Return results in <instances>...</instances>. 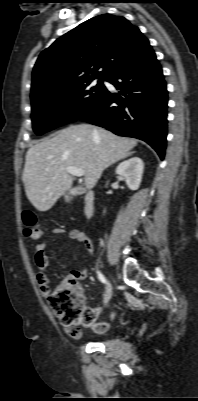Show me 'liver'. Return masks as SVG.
Wrapping results in <instances>:
<instances>
[{
  "label": "liver",
  "instance_id": "liver-1",
  "mask_svg": "<svg viewBox=\"0 0 198 401\" xmlns=\"http://www.w3.org/2000/svg\"><path fill=\"white\" fill-rule=\"evenodd\" d=\"M136 145V139L93 125L69 126L27 151L22 174L26 195L37 210L47 211L72 186L66 167L81 168L91 189L106 168L130 155Z\"/></svg>",
  "mask_w": 198,
  "mask_h": 401
}]
</instances>
